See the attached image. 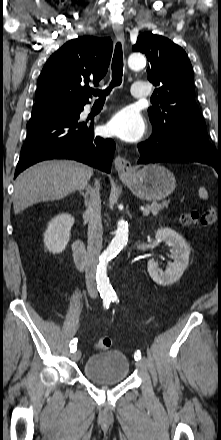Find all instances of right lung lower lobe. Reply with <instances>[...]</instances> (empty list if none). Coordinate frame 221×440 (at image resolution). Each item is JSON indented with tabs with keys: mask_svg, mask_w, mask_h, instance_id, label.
I'll use <instances>...</instances> for the list:
<instances>
[{
	"mask_svg": "<svg viewBox=\"0 0 221 440\" xmlns=\"http://www.w3.org/2000/svg\"><path fill=\"white\" fill-rule=\"evenodd\" d=\"M82 110L83 106L32 115L14 178L29 166L49 159H73L109 173L115 143L95 136L93 121L90 125L79 121Z\"/></svg>",
	"mask_w": 221,
	"mask_h": 440,
	"instance_id": "1",
	"label": "right lung lower lobe"
}]
</instances>
